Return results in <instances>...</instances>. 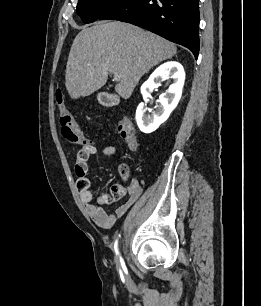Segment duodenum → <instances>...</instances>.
<instances>
[{
    "mask_svg": "<svg viewBox=\"0 0 261 306\" xmlns=\"http://www.w3.org/2000/svg\"><path fill=\"white\" fill-rule=\"evenodd\" d=\"M102 101L105 105L107 106H112L114 104H116V98L112 95H104L102 98Z\"/></svg>",
    "mask_w": 261,
    "mask_h": 306,
    "instance_id": "duodenum-1",
    "label": "duodenum"
}]
</instances>
